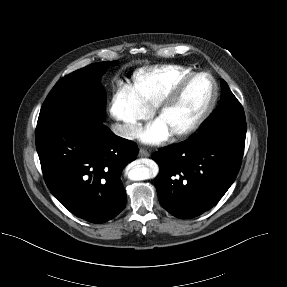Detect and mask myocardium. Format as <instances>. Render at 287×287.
Segmentation results:
<instances>
[{
	"label": "myocardium",
	"instance_id": "f54148a6",
	"mask_svg": "<svg viewBox=\"0 0 287 287\" xmlns=\"http://www.w3.org/2000/svg\"><path fill=\"white\" fill-rule=\"evenodd\" d=\"M205 77L210 81L211 84V95L206 103L205 107L200 111V113L186 125L172 129L169 133L173 138H184L194 131H196L209 117L213 111L215 104L218 99V87L215 79L206 72H193L183 79H181L157 104V106L152 111V116L158 120L168 109H170L179 99L186 87L195 79Z\"/></svg>",
	"mask_w": 287,
	"mask_h": 287
}]
</instances>
